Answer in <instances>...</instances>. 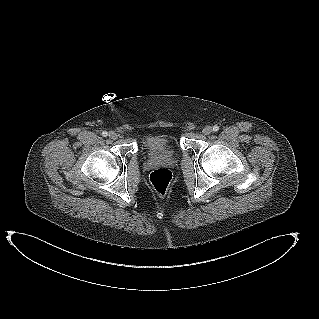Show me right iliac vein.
Returning <instances> with one entry per match:
<instances>
[{
  "mask_svg": "<svg viewBox=\"0 0 319 319\" xmlns=\"http://www.w3.org/2000/svg\"><path fill=\"white\" fill-rule=\"evenodd\" d=\"M108 136L110 139H113V140L117 139V137H118L117 133L114 131H110Z\"/></svg>",
  "mask_w": 319,
  "mask_h": 319,
  "instance_id": "1",
  "label": "right iliac vein"
}]
</instances>
